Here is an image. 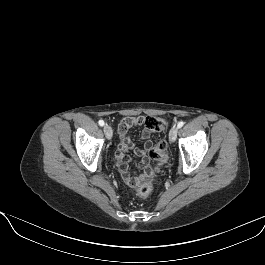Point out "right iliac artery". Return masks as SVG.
Wrapping results in <instances>:
<instances>
[{
    "label": "right iliac artery",
    "instance_id": "obj_1",
    "mask_svg": "<svg viewBox=\"0 0 265 265\" xmlns=\"http://www.w3.org/2000/svg\"><path fill=\"white\" fill-rule=\"evenodd\" d=\"M98 123H99L100 126H104V124H105L103 120H99Z\"/></svg>",
    "mask_w": 265,
    "mask_h": 265
}]
</instances>
